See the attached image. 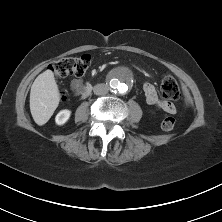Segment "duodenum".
<instances>
[{
	"label": "duodenum",
	"mask_w": 222,
	"mask_h": 222,
	"mask_svg": "<svg viewBox=\"0 0 222 222\" xmlns=\"http://www.w3.org/2000/svg\"><path fill=\"white\" fill-rule=\"evenodd\" d=\"M91 91H92V85L91 84L84 85L81 89V97L82 98L87 97L90 94Z\"/></svg>",
	"instance_id": "duodenum-1"
}]
</instances>
